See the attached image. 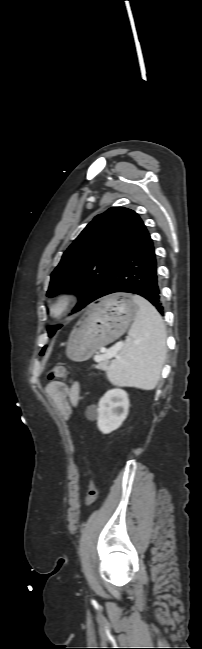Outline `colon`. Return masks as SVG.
<instances>
[{
  "label": "colon",
  "mask_w": 202,
  "mask_h": 649,
  "mask_svg": "<svg viewBox=\"0 0 202 649\" xmlns=\"http://www.w3.org/2000/svg\"><path fill=\"white\" fill-rule=\"evenodd\" d=\"M66 375H67L66 366L62 365V364H57V365H54L50 369V371L48 373V378L51 381H57V380H60V379H62L64 377H66ZM97 494H98V489H97L96 483L93 481L90 484L87 495L85 497V506L86 507L91 506L95 502V500L97 498Z\"/></svg>",
  "instance_id": "1"
}]
</instances>
